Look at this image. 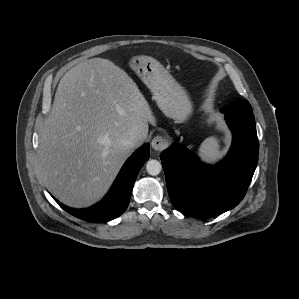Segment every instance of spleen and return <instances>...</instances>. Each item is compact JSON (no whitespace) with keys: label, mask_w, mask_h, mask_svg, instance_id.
Instances as JSON below:
<instances>
[{"label":"spleen","mask_w":299,"mask_h":299,"mask_svg":"<svg viewBox=\"0 0 299 299\" xmlns=\"http://www.w3.org/2000/svg\"><path fill=\"white\" fill-rule=\"evenodd\" d=\"M199 151L211 157L217 156L219 154L218 143L214 138H208L202 143Z\"/></svg>","instance_id":"spleen-1"}]
</instances>
